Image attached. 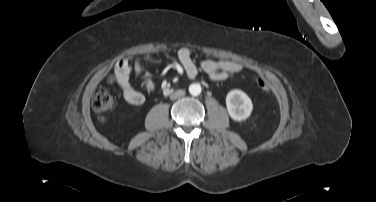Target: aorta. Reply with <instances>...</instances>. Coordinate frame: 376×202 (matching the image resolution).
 Instances as JSON below:
<instances>
[{"label": "aorta", "mask_w": 376, "mask_h": 202, "mask_svg": "<svg viewBox=\"0 0 376 202\" xmlns=\"http://www.w3.org/2000/svg\"><path fill=\"white\" fill-rule=\"evenodd\" d=\"M202 91V88H201V85L199 83H193L189 86V92L190 94L194 95V96H197L201 93Z\"/></svg>", "instance_id": "1"}]
</instances>
